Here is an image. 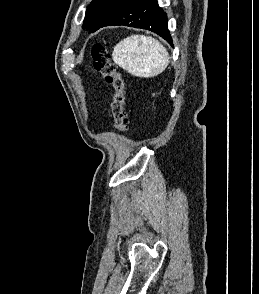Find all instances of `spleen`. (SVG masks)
<instances>
[{
	"label": "spleen",
	"instance_id": "3e777b00",
	"mask_svg": "<svg viewBox=\"0 0 259 294\" xmlns=\"http://www.w3.org/2000/svg\"><path fill=\"white\" fill-rule=\"evenodd\" d=\"M112 58L119 67L142 78L159 75L170 62L167 49L158 40L144 35H131L120 41Z\"/></svg>",
	"mask_w": 259,
	"mask_h": 294
}]
</instances>
